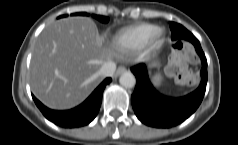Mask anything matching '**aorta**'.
<instances>
[{
    "instance_id": "obj_1",
    "label": "aorta",
    "mask_w": 238,
    "mask_h": 145,
    "mask_svg": "<svg viewBox=\"0 0 238 145\" xmlns=\"http://www.w3.org/2000/svg\"><path fill=\"white\" fill-rule=\"evenodd\" d=\"M119 82L122 86L126 88H132L135 86L136 79H135V76L131 72H124L120 76Z\"/></svg>"
}]
</instances>
